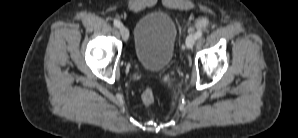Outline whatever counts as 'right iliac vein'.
Instances as JSON below:
<instances>
[{"label": "right iliac vein", "mask_w": 298, "mask_h": 138, "mask_svg": "<svg viewBox=\"0 0 298 138\" xmlns=\"http://www.w3.org/2000/svg\"><path fill=\"white\" fill-rule=\"evenodd\" d=\"M120 33L122 35V38L126 41L129 37V31L126 27L124 26H121L120 27Z\"/></svg>", "instance_id": "obj_1"}]
</instances>
